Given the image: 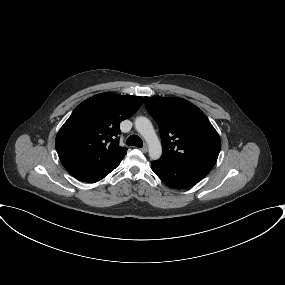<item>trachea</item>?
<instances>
[{
    "label": "trachea",
    "instance_id": "trachea-1",
    "mask_svg": "<svg viewBox=\"0 0 285 285\" xmlns=\"http://www.w3.org/2000/svg\"><path fill=\"white\" fill-rule=\"evenodd\" d=\"M126 145L136 146V147L141 148L143 146V141H142V139L139 136L131 135L126 140Z\"/></svg>",
    "mask_w": 285,
    "mask_h": 285
}]
</instances>
